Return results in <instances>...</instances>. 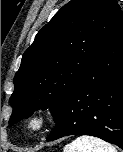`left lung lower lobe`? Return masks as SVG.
Returning <instances> with one entry per match:
<instances>
[{"instance_id": "1", "label": "left lung lower lobe", "mask_w": 123, "mask_h": 152, "mask_svg": "<svg viewBox=\"0 0 123 152\" xmlns=\"http://www.w3.org/2000/svg\"><path fill=\"white\" fill-rule=\"evenodd\" d=\"M90 135L123 149V14L63 101L47 141Z\"/></svg>"}]
</instances>
